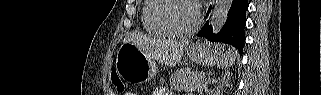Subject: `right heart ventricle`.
Listing matches in <instances>:
<instances>
[{"label": "right heart ventricle", "mask_w": 321, "mask_h": 95, "mask_svg": "<svg viewBox=\"0 0 321 95\" xmlns=\"http://www.w3.org/2000/svg\"><path fill=\"white\" fill-rule=\"evenodd\" d=\"M157 5V0H145L141 9V21L146 31L155 36H167L168 34L156 25L152 18L153 7Z\"/></svg>", "instance_id": "1"}]
</instances>
